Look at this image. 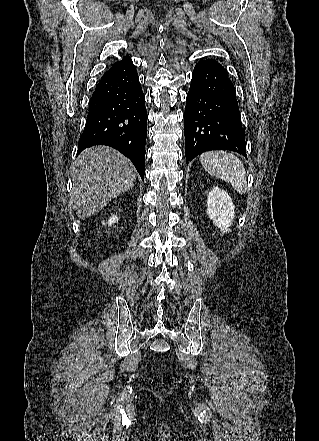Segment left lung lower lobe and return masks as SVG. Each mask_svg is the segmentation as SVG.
Wrapping results in <instances>:
<instances>
[{
	"mask_svg": "<svg viewBox=\"0 0 319 441\" xmlns=\"http://www.w3.org/2000/svg\"><path fill=\"white\" fill-rule=\"evenodd\" d=\"M184 125L187 161L210 150H230L246 157L235 87L219 62L204 59L196 64L186 98Z\"/></svg>",
	"mask_w": 319,
	"mask_h": 441,
	"instance_id": "obj_1",
	"label": "left lung lower lobe"
}]
</instances>
